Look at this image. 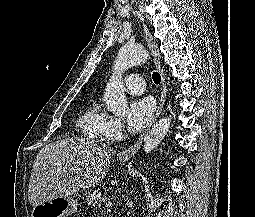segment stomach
Masks as SVG:
<instances>
[{
	"mask_svg": "<svg viewBox=\"0 0 255 217\" xmlns=\"http://www.w3.org/2000/svg\"><path fill=\"white\" fill-rule=\"evenodd\" d=\"M125 161V159H120ZM78 202L72 197H56L33 208L32 217H68L76 212Z\"/></svg>",
	"mask_w": 255,
	"mask_h": 217,
	"instance_id": "1",
	"label": "stomach"
}]
</instances>
